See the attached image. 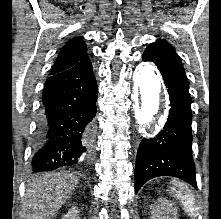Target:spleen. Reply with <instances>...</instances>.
I'll return each mask as SVG.
<instances>
[{
	"mask_svg": "<svg viewBox=\"0 0 221 219\" xmlns=\"http://www.w3.org/2000/svg\"><path fill=\"white\" fill-rule=\"evenodd\" d=\"M172 190L175 196L180 200L185 212L190 217H195L198 212V208L195 206V199L193 194L190 192L188 186L182 182L172 181Z\"/></svg>",
	"mask_w": 221,
	"mask_h": 219,
	"instance_id": "3e777b00",
	"label": "spleen"
}]
</instances>
